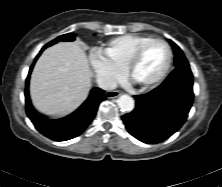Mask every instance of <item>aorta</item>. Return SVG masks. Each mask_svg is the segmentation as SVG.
Instances as JSON below:
<instances>
[{
  "mask_svg": "<svg viewBox=\"0 0 222 187\" xmlns=\"http://www.w3.org/2000/svg\"><path fill=\"white\" fill-rule=\"evenodd\" d=\"M119 108L124 112H131L134 109V100L129 95H122L117 100Z\"/></svg>",
  "mask_w": 222,
  "mask_h": 187,
  "instance_id": "aorta-1",
  "label": "aorta"
}]
</instances>
